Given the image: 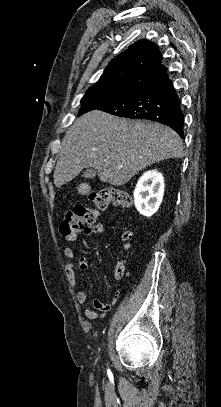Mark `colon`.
I'll return each mask as SVG.
<instances>
[{"label":"colon","mask_w":221,"mask_h":407,"mask_svg":"<svg viewBox=\"0 0 221 407\" xmlns=\"http://www.w3.org/2000/svg\"><path fill=\"white\" fill-rule=\"evenodd\" d=\"M92 206L78 204L72 212H67L64 220L60 224V233L65 237L75 238L81 233H95L97 231V215L100 211H105L109 204L116 207L127 208L133 203V198L127 192L118 187H108L91 194ZM123 239L129 240L131 234L123 233ZM116 273L119 277L123 275L122 265H118Z\"/></svg>","instance_id":"5ec220e1"}]
</instances>
